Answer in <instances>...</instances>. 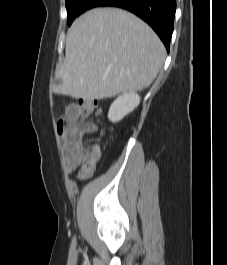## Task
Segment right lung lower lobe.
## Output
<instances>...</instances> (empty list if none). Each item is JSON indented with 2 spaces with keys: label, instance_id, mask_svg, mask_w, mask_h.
Instances as JSON below:
<instances>
[{
  "label": "right lung lower lobe",
  "instance_id": "right-lung-lower-lobe-1",
  "mask_svg": "<svg viewBox=\"0 0 227 265\" xmlns=\"http://www.w3.org/2000/svg\"><path fill=\"white\" fill-rule=\"evenodd\" d=\"M103 6L123 8L139 16L153 28L169 51L176 0H95L90 9Z\"/></svg>",
  "mask_w": 227,
  "mask_h": 265
}]
</instances>
